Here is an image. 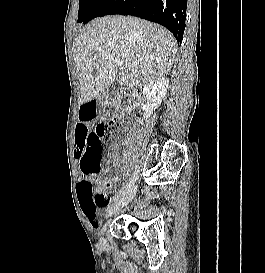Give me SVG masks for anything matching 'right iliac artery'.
Returning <instances> with one entry per match:
<instances>
[{
    "label": "right iliac artery",
    "mask_w": 265,
    "mask_h": 273,
    "mask_svg": "<svg viewBox=\"0 0 265 273\" xmlns=\"http://www.w3.org/2000/svg\"><path fill=\"white\" fill-rule=\"evenodd\" d=\"M138 174H139V166L136 165L135 166V171L133 173V176L131 177L129 183H127L122 190L113 197L112 201H116L118 200L121 196H124L126 193H128L131 189V187L135 184L136 180L138 179Z\"/></svg>",
    "instance_id": "1"
}]
</instances>
